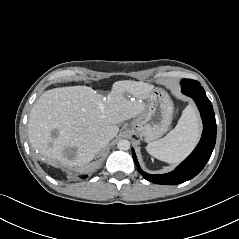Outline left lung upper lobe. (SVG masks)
<instances>
[{
    "mask_svg": "<svg viewBox=\"0 0 239 239\" xmlns=\"http://www.w3.org/2000/svg\"><path fill=\"white\" fill-rule=\"evenodd\" d=\"M182 85H187V86H191V85H195V84H200L198 81L195 80H191V79H183L181 81Z\"/></svg>",
    "mask_w": 239,
    "mask_h": 239,
    "instance_id": "left-lung-upper-lobe-1",
    "label": "left lung upper lobe"
}]
</instances>
